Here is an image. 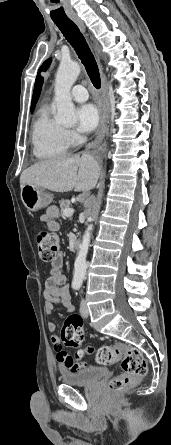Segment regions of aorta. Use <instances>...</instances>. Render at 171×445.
Returning <instances> with one entry per match:
<instances>
[{
    "mask_svg": "<svg viewBox=\"0 0 171 445\" xmlns=\"http://www.w3.org/2000/svg\"><path fill=\"white\" fill-rule=\"evenodd\" d=\"M80 65L75 61L62 62L58 68L55 79V97L54 101L57 108L55 120L62 124L76 123L75 106L71 98V87L75 83L79 73ZM93 225L90 224L86 229L78 255L74 263L73 283L81 284L86 276L87 262L86 257L90 245L91 231Z\"/></svg>",
    "mask_w": 171,
    "mask_h": 445,
    "instance_id": "762f6f07",
    "label": "aorta"
}]
</instances>
